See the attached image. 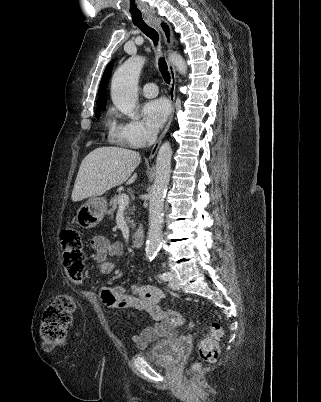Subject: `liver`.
<instances>
[{
	"label": "liver",
	"instance_id": "obj_1",
	"mask_svg": "<svg viewBox=\"0 0 321 402\" xmlns=\"http://www.w3.org/2000/svg\"><path fill=\"white\" fill-rule=\"evenodd\" d=\"M141 161L138 152L121 147H99L82 161L72 191L74 202L100 196L113 187L133 183L131 174Z\"/></svg>",
	"mask_w": 321,
	"mask_h": 402
}]
</instances>
